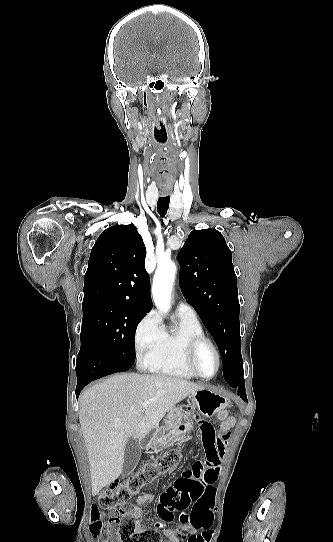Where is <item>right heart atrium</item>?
Wrapping results in <instances>:
<instances>
[{
  "label": "right heart atrium",
  "mask_w": 333,
  "mask_h": 542,
  "mask_svg": "<svg viewBox=\"0 0 333 542\" xmlns=\"http://www.w3.org/2000/svg\"><path fill=\"white\" fill-rule=\"evenodd\" d=\"M163 335L164 331L158 317L154 313L148 314L136 328L135 339L137 350L140 351L144 347L159 343Z\"/></svg>",
  "instance_id": "right-heart-atrium-1"
}]
</instances>
